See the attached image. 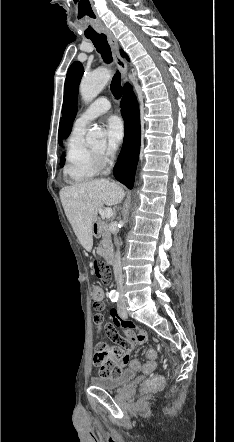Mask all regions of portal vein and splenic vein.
Here are the masks:
<instances>
[{"mask_svg":"<svg viewBox=\"0 0 234 442\" xmlns=\"http://www.w3.org/2000/svg\"><path fill=\"white\" fill-rule=\"evenodd\" d=\"M104 216H105V218H111L113 216L112 208H106L104 210Z\"/></svg>","mask_w":234,"mask_h":442,"instance_id":"obj_1","label":"portal vein and splenic vein"}]
</instances>
